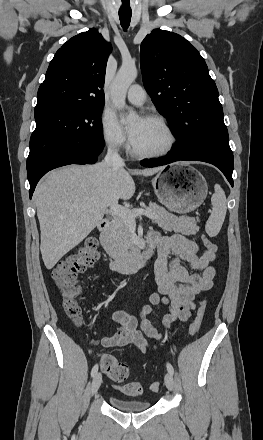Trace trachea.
<instances>
[{
  "label": "trachea",
  "instance_id": "3493384b",
  "mask_svg": "<svg viewBox=\"0 0 263 440\" xmlns=\"http://www.w3.org/2000/svg\"><path fill=\"white\" fill-rule=\"evenodd\" d=\"M131 16H132V12H119V19L121 22V26L123 27L124 30H126L129 27L130 24V20H131Z\"/></svg>",
  "mask_w": 263,
  "mask_h": 440
}]
</instances>
